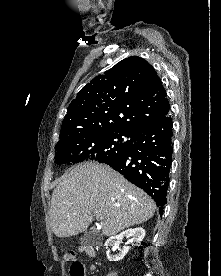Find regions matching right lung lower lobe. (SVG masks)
I'll use <instances>...</instances> for the list:
<instances>
[{"instance_id":"1","label":"right lung lower lobe","mask_w":221,"mask_h":276,"mask_svg":"<svg viewBox=\"0 0 221 276\" xmlns=\"http://www.w3.org/2000/svg\"><path fill=\"white\" fill-rule=\"evenodd\" d=\"M173 123L169 113L132 135L129 148L104 162L143 189L156 202L160 215L166 204L172 162Z\"/></svg>"}]
</instances>
